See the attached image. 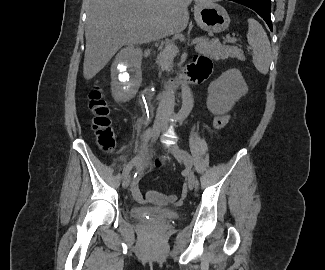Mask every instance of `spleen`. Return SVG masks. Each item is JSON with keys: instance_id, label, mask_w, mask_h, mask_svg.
Instances as JSON below:
<instances>
[{"instance_id": "obj_1", "label": "spleen", "mask_w": 325, "mask_h": 270, "mask_svg": "<svg viewBox=\"0 0 325 270\" xmlns=\"http://www.w3.org/2000/svg\"><path fill=\"white\" fill-rule=\"evenodd\" d=\"M247 40L253 48V64L256 69L267 74L271 62V46L261 24L253 18L248 20Z\"/></svg>"}]
</instances>
